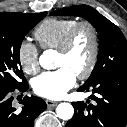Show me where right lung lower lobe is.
<instances>
[{
	"mask_svg": "<svg viewBox=\"0 0 127 127\" xmlns=\"http://www.w3.org/2000/svg\"><path fill=\"white\" fill-rule=\"evenodd\" d=\"M28 83L14 89H0V127H34V119L47 107L41 98L24 97L21 110L13 107V92H25Z\"/></svg>",
	"mask_w": 127,
	"mask_h": 127,
	"instance_id": "obj_1",
	"label": "right lung lower lobe"
}]
</instances>
